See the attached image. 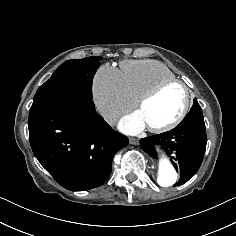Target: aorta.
<instances>
[{"label": "aorta", "instance_id": "obj_1", "mask_svg": "<svg viewBox=\"0 0 236 236\" xmlns=\"http://www.w3.org/2000/svg\"><path fill=\"white\" fill-rule=\"evenodd\" d=\"M177 177L178 174L170 161L162 156V159L159 162L157 183L162 187H169L176 183Z\"/></svg>", "mask_w": 236, "mask_h": 236}]
</instances>
